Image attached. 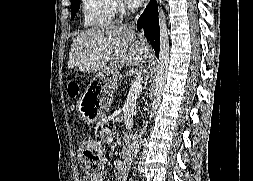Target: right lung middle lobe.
<instances>
[{"label":"right lung middle lobe","mask_w":253,"mask_h":181,"mask_svg":"<svg viewBox=\"0 0 253 181\" xmlns=\"http://www.w3.org/2000/svg\"><path fill=\"white\" fill-rule=\"evenodd\" d=\"M80 0H71V19H74L76 12L80 8Z\"/></svg>","instance_id":"1"}]
</instances>
